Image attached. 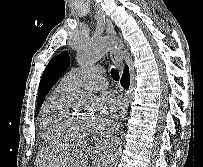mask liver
<instances>
[{
	"label": "liver",
	"instance_id": "6515ba94",
	"mask_svg": "<svg viewBox=\"0 0 203 167\" xmlns=\"http://www.w3.org/2000/svg\"><path fill=\"white\" fill-rule=\"evenodd\" d=\"M90 151L81 144L44 148L37 156L35 167H87Z\"/></svg>",
	"mask_w": 203,
	"mask_h": 167
}]
</instances>
